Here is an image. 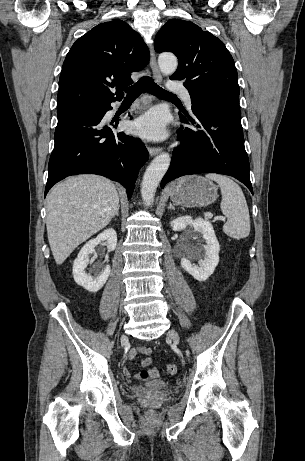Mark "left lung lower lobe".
<instances>
[{
    "label": "left lung lower lobe",
    "mask_w": 305,
    "mask_h": 461,
    "mask_svg": "<svg viewBox=\"0 0 305 461\" xmlns=\"http://www.w3.org/2000/svg\"><path fill=\"white\" fill-rule=\"evenodd\" d=\"M194 118L180 115L192 128L178 131L181 145L173 152L161 187L175 178L197 173L233 176L253 193L249 160L244 147L239 100L236 94L190 95Z\"/></svg>",
    "instance_id": "1"
}]
</instances>
